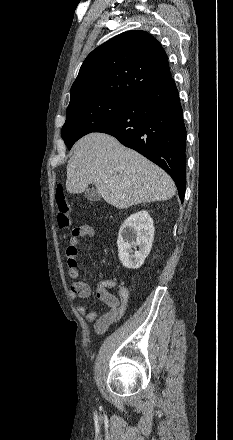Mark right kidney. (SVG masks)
Returning <instances> with one entry per match:
<instances>
[{
    "mask_svg": "<svg viewBox=\"0 0 233 440\" xmlns=\"http://www.w3.org/2000/svg\"><path fill=\"white\" fill-rule=\"evenodd\" d=\"M153 239L154 226L149 213L143 210L130 215L122 223L117 238L118 256L122 265L128 269L141 267L150 253ZM132 248L135 249L134 254Z\"/></svg>",
    "mask_w": 233,
    "mask_h": 440,
    "instance_id": "1",
    "label": "right kidney"
}]
</instances>
